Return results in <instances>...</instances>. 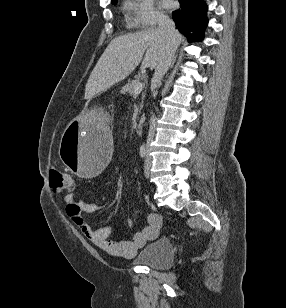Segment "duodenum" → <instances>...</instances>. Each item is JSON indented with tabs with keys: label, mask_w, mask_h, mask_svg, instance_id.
Returning <instances> with one entry per match:
<instances>
[{
	"label": "duodenum",
	"mask_w": 286,
	"mask_h": 308,
	"mask_svg": "<svg viewBox=\"0 0 286 308\" xmlns=\"http://www.w3.org/2000/svg\"><path fill=\"white\" fill-rule=\"evenodd\" d=\"M136 132L138 134H142L144 132V122L143 121H139L136 125Z\"/></svg>",
	"instance_id": "1"
}]
</instances>
